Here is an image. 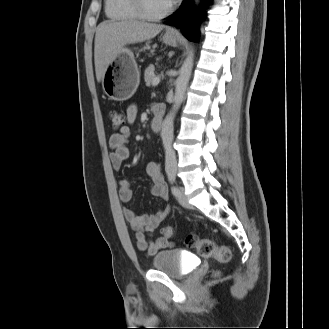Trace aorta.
Instances as JSON below:
<instances>
[{
	"instance_id": "762f6f07",
	"label": "aorta",
	"mask_w": 329,
	"mask_h": 329,
	"mask_svg": "<svg viewBox=\"0 0 329 329\" xmlns=\"http://www.w3.org/2000/svg\"><path fill=\"white\" fill-rule=\"evenodd\" d=\"M195 5L198 6L200 0H194ZM193 60L188 56L180 70V74L176 80V88L174 95V103L172 110L166 116L162 123L161 138L165 150V170L166 172H174L177 169L176 154L172 148L173 131H174V117L183 102L187 84L191 75Z\"/></svg>"
}]
</instances>
